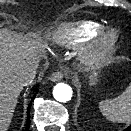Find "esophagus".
<instances>
[{
	"instance_id": "esophagus-1",
	"label": "esophagus",
	"mask_w": 131,
	"mask_h": 131,
	"mask_svg": "<svg viewBox=\"0 0 131 131\" xmlns=\"http://www.w3.org/2000/svg\"><path fill=\"white\" fill-rule=\"evenodd\" d=\"M65 75V71H62V70H59V71H55L53 72L49 79L52 81V82H57V81H60Z\"/></svg>"
}]
</instances>
